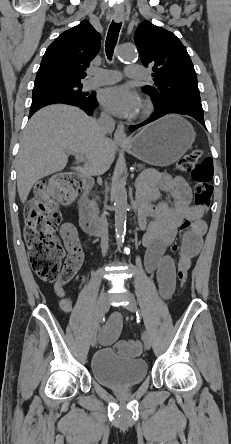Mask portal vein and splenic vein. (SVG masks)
<instances>
[{"label": "portal vein and splenic vein", "instance_id": "obj_1", "mask_svg": "<svg viewBox=\"0 0 231 444\" xmlns=\"http://www.w3.org/2000/svg\"><path fill=\"white\" fill-rule=\"evenodd\" d=\"M70 154H73V153H70ZM75 156H76L77 160H79V161H84L85 160V157L82 156V155L75 154Z\"/></svg>", "mask_w": 231, "mask_h": 444}]
</instances>
